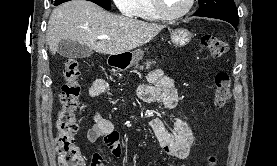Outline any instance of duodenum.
Masks as SVG:
<instances>
[{
	"instance_id": "410a0bca",
	"label": "duodenum",
	"mask_w": 277,
	"mask_h": 166,
	"mask_svg": "<svg viewBox=\"0 0 277 166\" xmlns=\"http://www.w3.org/2000/svg\"><path fill=\"white\" fill-rule=\"evenodd\" d=\"M113 65L114 66H119V63L118 62H113Z\"/></svg>"
}]
</instances>
